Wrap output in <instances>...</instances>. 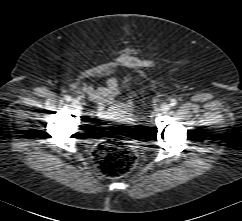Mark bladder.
<instances>
[{"instance_id":"1","label":"bladder","mask_w":242,"mask_h":221,"mask_svg":"<svg viewBox=\"0 0 242 221\" xmlns=\"http://www.w3.org/2000/svg\"><path fill=\"white\" fill-rule=\"evenodd\" d=\"M118 106L123 110H131V108L125 103H118Z\"/></svg>"}]
</instances>
